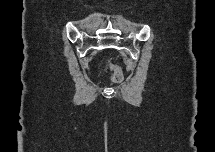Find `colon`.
I'll list each match as a JSON object with an SVG mask.
<instances>
[{
	"instance_id": "colon-1",
	"label": "colon",
	"mask_w": 215,
	"mask_h": 152,
	"mask_svg": "<svg viewBox=\"0 0 215 152\" xmlns=\"http://www.w3.org/2000/svg\"><path fill=\"white\" fill-rule=\"evenodd\" d=\"M107 66L111 72V76H110L111 81L116 84L120 83L123 80V73L121 68L111 63H109Z\"/></svg>"
}]
</instances>
